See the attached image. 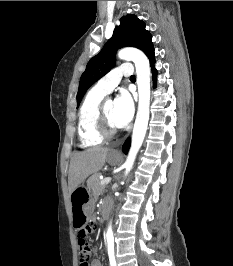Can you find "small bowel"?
I'll use <instances>...</instances> for the list:
<instances>
[{"label":"small bowel","mask_w":233,"mask_h":266,"mask_svg":"<svg viewBox=\"0 0 233 266\" xmlns=\"http://www.w3.org/2000/svg\"><path fill=\"white\" fill-rule=\"evenodd\" d=\"M94 251L98 250V247L93 248ZM88 266H102L99 259H94Z\"/></svg>","instance_id":"c3829d8e"}]
</instances>
